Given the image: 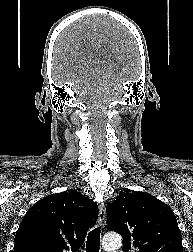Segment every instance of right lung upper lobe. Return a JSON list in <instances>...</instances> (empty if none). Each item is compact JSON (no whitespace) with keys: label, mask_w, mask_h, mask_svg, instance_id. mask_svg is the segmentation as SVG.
<instances>
[{"label":"right lung upper lobe","mask_w":193,"mask_h":252,"mask_svg":"<svg viewBox=\"0 0 193 252\" xmlns=\"http://www.w3.org/2000/svg\"><path fill=\"white\" fill-rule=\"evenodd\" d=\"M98 218V206L76 191L51 194L25 214L14 252H76Z\"/></svg>","instance_id":"right-lung-upper-lobe-1"}]
</instances>
